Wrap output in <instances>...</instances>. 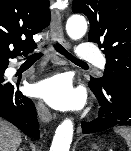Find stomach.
I'll list each match as a JSON object with an SVG mask.
<instances>
[{
  "mask_svg": "<svg viewBox=\"0 0 131 151\" xmlns=\"http://www.w3.org/2000/svg\"><path fill=\"white\" fill-rule=\"evenodd\" d=\"M92 148L95 150V149H97V146L96 145H92Z\"/></svg>",
  "mask_w": 131,
  "mask_h": 151,
  "instance_id": "stomach-1",
  "label": "stomach"
}]
</instances>
